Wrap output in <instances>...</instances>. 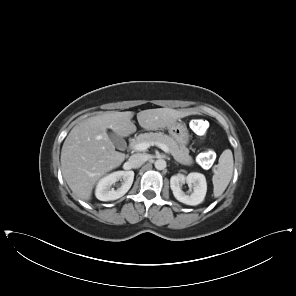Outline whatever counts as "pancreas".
I'll return each mask as SVG.
<instances>
[{
    "label": "pancreas",
    "mask_w": 296,
    "mask_h": 296,
    "mask_svg": "<svg viewBox=\"0 0 296 296\" xmlns=\"http://www.w3.org/2000/svg\"><path fill=\"white\" fill-rule=\"evenodd\" d=\"M142 142H160L165 144L171 151L174 159L183 165L191 166L193 158L189 155V149L181 144H178L173 138L164 133H143L138 135L132 142L133 146Z\"/></svg>",
    "instance_id": "1"
}]
</instances>
